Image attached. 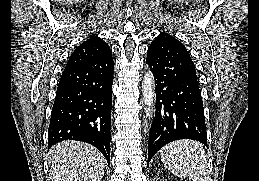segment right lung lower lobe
Returning a JSON list of instances; mask_svg holds the SVG:
<instances>
[{
    "instance_id": "right-lung-lower-lobe-1",
    "label": "right lung lower lobe",
    "mask_w": 259,
    "mask_h": 181,
    "mask_svg": "<svg viewBox=\"0 0 259 181\" xmlns=\"http://www.w3.org/2000/svg\"><path fill=\"white\" fill-rule=\"evenodd\" d=\"M114 61L112 53L66 67L48 129V146L78 140L95 146L110 163Z\"/></svg>"
}]
</instances>
